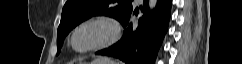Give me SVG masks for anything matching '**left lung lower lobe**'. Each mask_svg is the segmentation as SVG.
Instances as JSON below:
<instances>
[{
	"label": "left lung lower lobe",
	"mask_w": 242,
	"mask_h": 64,
	"mask_svg": "<svg viewBox=\"0 0 242 64\" xmlns=\"http://www.w3.org/2000/svg\"><path fill=\"white\" fill-rule=\"evenodd\" d=\"M147 4L148 0H144L143 16L138 26L134 27L129 22L131 16L136 14V10H131L121 21L125 30L120 41L96 54L114 57L126 64H154L168 29L172 0H158L151 12L146 9Z\"/></svg>",
	"instance_id": "1"
}]
</instances>
